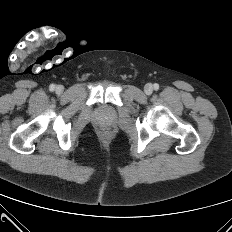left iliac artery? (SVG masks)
Segmentation results:
<instances>
[{"label":"left iliac artery","mask_w":232,"mask_h":232,"mask_svg":"<svg viewBox=\"0 0 232 232\" xmlns=\"http://www.w3.org/2000/svg\"><path fill=\"white\" fill-rule=\"evenodd\" d=\"M154 89L158 90L159 89V85L158 84H154Z\"/></svg>","instance_id":"left-iliac-artery-1"}]
</instances>
